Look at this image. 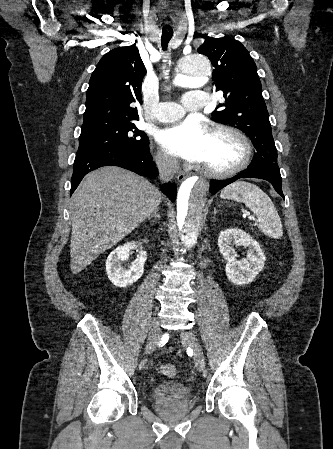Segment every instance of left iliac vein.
<instances>
[{
  "instance_id": "4c4485c4",
  "label": "left iliac vein",
  "mask_w": 333,
  "mask_h": 449,
  "mask_svg": "<svg viewBox=\"0 0 333 449\" xmlns=\"http://www.w3.org/2000/svg\"><path fill=\"white\" fill-rule=\"evenodd\" d=\"M181 339L185 344H187L192 349L194 353L196 368L198 369V371L202 372L205 368L204 356L202 347L198 339L196 338L195 334L191 331H182Z\"/></svg>"
}]
</instances>
